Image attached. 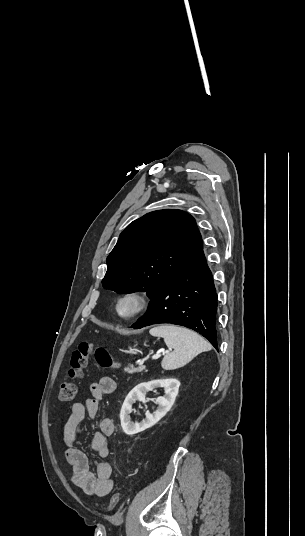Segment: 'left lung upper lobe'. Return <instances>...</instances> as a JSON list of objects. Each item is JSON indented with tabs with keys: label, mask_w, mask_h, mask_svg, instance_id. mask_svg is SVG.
<instances>
[{
	"label": "left lung upper lobe",
	"mask_w": 305,
	"mask_h": 536,
	"mask_svg": "<svg viewBox=\"0 0 305 536\" xmlns=\"http://www.w3.org/2000/svg\"><path fill=\"white\" fill-rule=\"evenodd\" d=\"M203 242L195 219L165 209L130 223L107 257L105 289L127 294L146 291L152 299L201 252Z\"/></svg>",
	"instance_id": "obj_1"
}]
</instances>
